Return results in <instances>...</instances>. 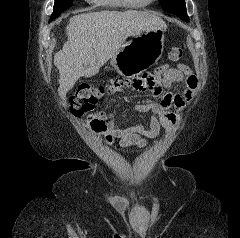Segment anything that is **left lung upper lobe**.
I'll return each instance as SVG.
<instances>
[{
	"instance_id": "left-lung-upper-lobe-1",
	"label": "left lung upper lobe",
	"mask_w": 240,
	"mask_h": 238,
	"mask_svg": "<svg viewBox=\"0 0 240 238\" xmlns=\"http://www.w3.org/2000/svg\"><path fill=\"white\" fill-rule=\"evenodd\" d=\"M161 6L165 11L177 15L184 21H189L186 12L185 0H160Z\"/></svg>"
}]
</instances>
